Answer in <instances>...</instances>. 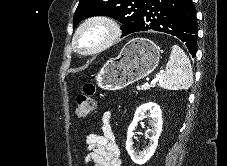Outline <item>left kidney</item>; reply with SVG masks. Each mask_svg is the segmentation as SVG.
<instances>
[{
    "mask_svg": "<svg viewBox=\"0 0 227 166\" xmlns=\"http://www.w3.org/2000/svg\"><path fill=\"white\" fill-rule=\"evenodd\" d=\"M147 112L152 118V129L150 131L149 144L143 151L137 153L133 145L134 130L137 123L143 119ZM162 124V112L157 103L148 102L137 108L133 121L128 127L126 141V150L134 163L142 165L153 156L158 145L159 136L162 132Z\"/></svg>",
    "mask_w": 227,
    "mask_h": 166,
    "instance_id": "1",
    "label": "left kidney"
}]
</instances>
